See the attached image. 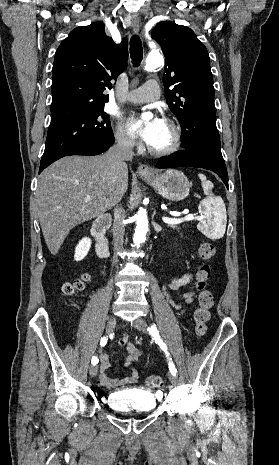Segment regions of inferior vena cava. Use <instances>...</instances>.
<instances>
[{
    "mask_svg": "<svg viewBox=\"0 0 279 465\" xmlns=\"http://www.w3.org/2000/svg\"><path fill=\"white\" fill-rule=\"evenodd\" d=\"M134 155L133 144L125 136H119L117 138V144L112 146L107 153L105 158L110 167L118 174L121 170L127 168L126 161L132 160ZM122 194L115 196L113 206H115L122 198ZM123 210L121 207L114 208V220H113V242L114 250L119 251L123 248L125 226L123 224ZM117 258L114 262L117 263Z\"/></svg>",
    "mask_w": 279,
    "mask_h": 465,
    "instance_id": "inferior-vena-cava-1",
    "label": "inferior vena cava"
}]
</instances>
